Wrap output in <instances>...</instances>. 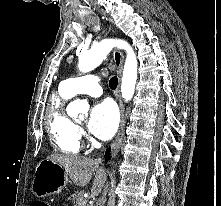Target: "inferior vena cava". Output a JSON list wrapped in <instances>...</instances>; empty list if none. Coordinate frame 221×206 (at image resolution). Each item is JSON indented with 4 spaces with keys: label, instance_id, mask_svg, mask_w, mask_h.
<instances>
[{
    "label": "inferior vena cava",
    "instance_id": "602c4592",
    "mask_svg": "<svg viewBox=\"0 0 221 206\" xmlns=\"http://www.w3.org/2000/svg\"><path fill=\"white\" fill-rule=\"evenodd\" d=\"M97 161L100 163L102 161V159L99 157L97 159ZM108 192V185H106L104 187V190H103V195L102 197H100L96 203V206H104L105 202H106V194Z\"/></svg>",
    "mask_w": 221,
    "mask_h": 206
}]
</instances>
